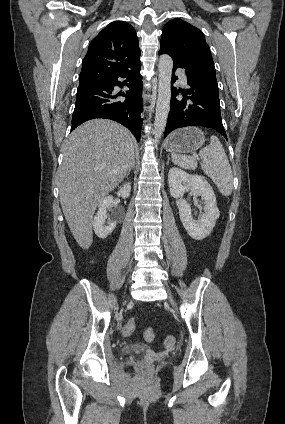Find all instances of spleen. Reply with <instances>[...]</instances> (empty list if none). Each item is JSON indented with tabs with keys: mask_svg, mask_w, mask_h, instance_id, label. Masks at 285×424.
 Masks as SVG:
<instances>
[{
	"mask_svg": "<svg viewBox=\"0 0 285 424\" xmlns=\"http://www.w3.org/2000/svg\"><path fill=\"white\" fill-rule=\"evenodd\" d=\"M202 170L212 179L219 191L230 196L233 190V174L223 145L212 135L210 144L199 152ZM174 164L185 169H196L197 161L193 157L172 153Z\"/></svg>",
	"mask_w": 285,
	"mask_h": 424,
	"instance_id": "3e777b00",
	"label": "spleen"
}]
</instances>
